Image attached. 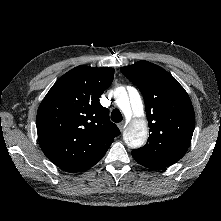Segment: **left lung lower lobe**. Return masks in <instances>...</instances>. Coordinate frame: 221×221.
<instances>
[{
  "label": "left lung lower lobe",
  "instance_id": "0a47b994",
  "mask_svg": "<svg viewBox=\"0 0 221 221\" xmlns=\"http://www.w3.org/2000/svg\"><path fill=\"white\" fill-rule=\"evenodd\" d=\"M134 157V156H133ZM134 159L141 165H143L144 167L150 168V169H154V170H160V169H164L166 168L163 165H160L158 163H154V162H150V161H146V160H142L139 159L137 157H134Z\"/></svg>",
  "mask_w": 221,
  "mask_h": 221
}]
</instances>
